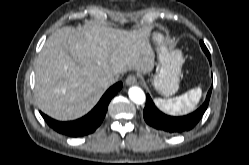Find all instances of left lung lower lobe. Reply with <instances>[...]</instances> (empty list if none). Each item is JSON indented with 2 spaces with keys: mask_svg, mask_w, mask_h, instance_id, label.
<instances>
[{
  "mask_svg": "<svg viewBox=\"0 0 249 165\" xmlns=\"http://www.w3.org/2000/svg\"><path fill=\"white\" fill-rule=\"evenodd\" d=\"M211 63V59L209 58ZM212 92V86L207 93V97L203 105L191 114L173 117L162 113L153 103L150 96H146V105L143 110L145 122L154 129L167 134H180L191 130L202 118L206 111Z\"/></svg>",
  "mask_w": 249,
  "mask_h": 165,
  "instance_id": "obj_1",
  "label": "left lung lower lobe"
}]
</instances>
